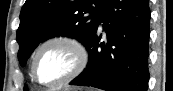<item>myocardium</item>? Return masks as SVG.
<instances>
[{
	"mask_svg": "<svg viewBox=\"0 0 173 91\" xmlns=\"http://www.w3.org/2000/svg\"><path fill=\"white\" fill-rule=\"evenodd\" d=\"M62 44L72 50L75 55V65L73 69L63 78L53 82H42L37 75L36 66L41 52L50 45ZM89 62V51L83 41L72 35H58L47 39L36 50L31 64V73L33 79L42 86L58 87L79 76L87 67Z\"/></svg>",
	"mask_w": 173,
	"mask_h": 91,
	"instance_id": "1",
	"label": "myocardium"
}]
</instances>
